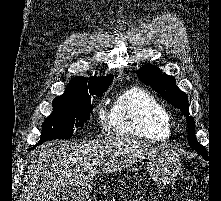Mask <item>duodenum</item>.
<instances>
[{
	"label": "duodenum",
	"instance_id": "duodenum-1",
	"mask_svg": "<svg viewBox=\"0 0 221 201\" xmlns=\"http://www.w3.org/2000/svg\"><path fill=\"white\" fill-rule=\"evenodd\" d=\"M76 201H84V197L79 194V195L76 197Z\"/></svg>",
	"mask_w": 221,
	"mask_h": 201
}]
</instances>
